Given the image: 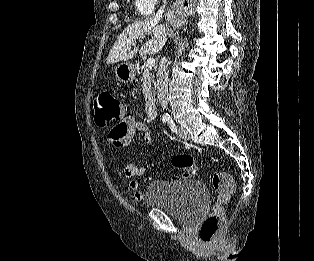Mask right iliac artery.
<instances>
[{"label": "right iliac artery", "mask_w": 314, "mask_h": 261, "mask_svg": "<svg viewBox=\"0 0 314 261\" xmlns=\"http://www.w3.org/2000/svg\"><path fill=\"white\" fill-rule=\"evenodd\" d=\"M168 120H169V118H164L163 119L164 122H167Z\"/></svg>", "instance_id": "right-iliac-artery-1"}]
</instances>
